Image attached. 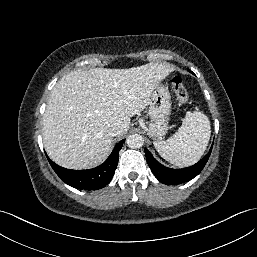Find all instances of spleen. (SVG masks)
<instances>
[{"label":"spleen","instance_id":"obj_1","mask_svg":"<svg viewBox=\"0 0 257 257\" xmlns=\"http://www.w3.org/2000/svg\"><path fill=\"white\" fill-rule=\"evenodd\" d=\"M210 135L208 117L201 111H188L178 131L165 141H155L154 146L171 164L189 166L204 154Z\"/></svg>","mask_w":257,"mask_h":257}]
</instances>
